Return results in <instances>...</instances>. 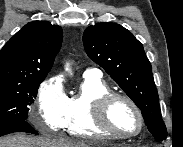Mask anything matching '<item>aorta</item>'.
I'll use <instances>...</instances> for the list:
<instances>
[{
	"instance_id": "762f6f07",
	"label": "aorta",
	"mask_w": 183,
	"mask_h": 147,
	"mask_svg": "<svg viewBox=\"0 0 183 147\" xmlns=\"http://www.w3.org/2000/svg\"><path fill=\"white\" fill-rule=\"evenodd\" d=\"M66 71H70V69H69V66H68V65L66 66Z\"/></svg>"
}]
</instances>
